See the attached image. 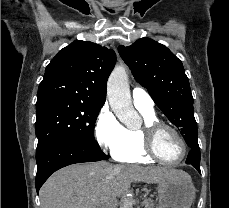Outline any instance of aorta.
Masks as SVG:
<instances>
[{"label":"aorta","instance_id":"obj_1","mask_svg":"<svg viewBox=\"0 0 229 208\" xmlns=\"http://www.w3.org/2000/svg\"><path fill=\"white\" fill-rule=\"evenodd\" d=\"M109 104L117 118L129 128H135L140 123V116L133 107L125 67L116 66L107 83ZM120 208H133L130 197L122 201Z\"/></svg>","mask_w":229,"mask_h":208}]
</instances>
